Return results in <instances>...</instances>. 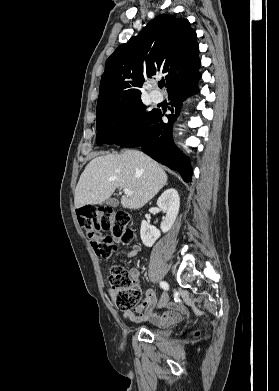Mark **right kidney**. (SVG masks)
<instances>
[{
	"label": "right kidney",
	"instance_id": "ca27d5eb",
	"mask_svg": "<svg viewBox=\"0 0 279 391\" xmlns=\"http://www.w3.org/2000/svg\"><path fill=\"white\" fill-rule=\"evenodd\" d=\"M157 206L166 214L161 223V231L168 232L179 213L180 197L176 189L169 188L165 190L157 200ZM161 231L152 226L150 222L143 220L141 223L140 236L146 247H152L155 241L160 237Z\"/></svg>",
	"mask_w": 279,
	"mask_h": 391
}]
</instances>
